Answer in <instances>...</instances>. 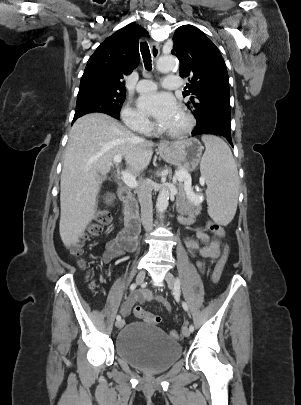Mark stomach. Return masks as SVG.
Listing matches in <instances>:
<instances>
[{
	"label": "stomach",
	"mask_w": 301,
	"mask_h": 405,
	"mask_svg": "<svg viewBox=\"0 0 301 405\" xmlns=\"http://www.w3.org/2000/svg\"><path fill=\"white\" fill-rule=\"evenodd\" d=\"M202 150L201 143L195 138L173 142L158 149L164 161L187 171H193L198 166Z\"/></svg>",
	"instance_id": "1"
}]
</instances>
